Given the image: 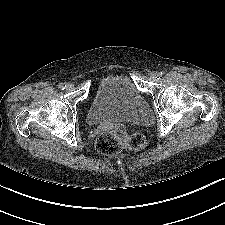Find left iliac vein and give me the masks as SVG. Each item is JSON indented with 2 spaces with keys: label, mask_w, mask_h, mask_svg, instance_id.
Returning <instances> with one entry per match:
<instances>
[{
  "label": "left iliac vein",
  "mask_w": 225,
  "mask_h": 225,
  "mask_svg": "<svg viewBox=\"0 0 225 225\" xmlns=\"http://www.w3.org/2000/svg\"><path fill=\"white\" fill-rule=\"evenodd\" d=\"M159 76H160V73H158V72H151V73H150V78H151L152 80L158 79Z\"/></svg>",
  "instance_id": "1"
}]
</instances>
